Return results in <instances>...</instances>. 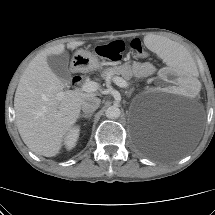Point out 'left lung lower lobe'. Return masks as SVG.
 I'll list each match as a JSON object with an SVG mask.
<instances>
[{
  "label": "left lung lower lobe",
  "instance_id": "obj_1",
  "mask_svg": "<svg viewBox=\"0 0 215 215\" xmlns=\"http://www.w3.org/2000/svg\"><path fill=\"white\" fill-rule=\"evenodd\" d=\"M178 152H179L178 149H176L174 146H169V148L164 149L162 151V154L164 156H171L177 154Z\"/></svg>",
  "mask_w": 215,
  "mask_h": 215
}]
</instances>
